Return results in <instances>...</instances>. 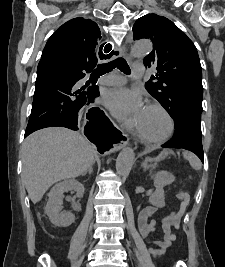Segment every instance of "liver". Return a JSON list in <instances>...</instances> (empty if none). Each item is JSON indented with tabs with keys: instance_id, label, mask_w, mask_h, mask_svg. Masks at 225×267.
I'll use <instances>...</instances> for the list:
<instances>
[{
	"instance_id": "liver-1",
	"label": "liver",
	"mask_w": 225,
	"mask_h": 267,
	"mask_svg": "<svg viewBox=\"0 0 225 267\" xmlns=\"http://www.w3.org/2000/svg\"><path fill=\"white\" fill-rule=\"evenodd\" d=\"M94 162V148L77 132L46 128L22 145V180L36 204L56 182L83 175Z\"/></svg>"
}]
</instances>
